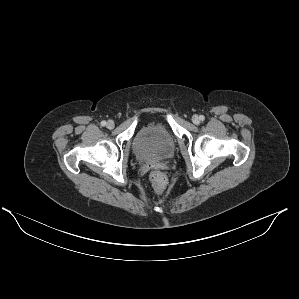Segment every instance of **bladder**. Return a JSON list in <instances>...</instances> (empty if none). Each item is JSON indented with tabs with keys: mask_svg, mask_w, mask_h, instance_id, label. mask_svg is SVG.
<instances>
[{
	"mask_svg": "<svg viewBox=\"0 0 299 299\" xmlns=\"http://www.w3.org/2000/svg\"><path fill=\"white\" fill-rule=\"evenodd\" d=\"M134 149L141 160L167 161L175 155L176 143L171 132L159 122H148L137 131Z\"/></svg>",
	"mask_w": 299,
	"mask_h": 299,
	"instance_id": "1",
	"label": "bladder"
}]
</instances>
